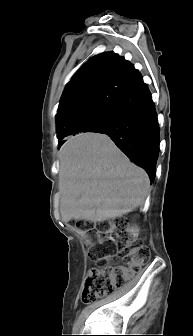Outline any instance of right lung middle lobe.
I'll return each instance as SVG.
<instances>
[{
    "label": "right lung middle lobe",
    "mask_w": 193,
    "mask_h": 336,
    "mask_svg": "<svg viewBox=\"0 0 193 336\" xmlns=\"http://www.w3.org/2000/svg\"><path fill=\"white\" fill-rule=\"evenodd\" d=\"M111 109H101L96 112L79 117L74 121L71 128L76 133L79 132H98L105 124Z\"/></svg>",
    "instance_id": "1"
}]
</instances>
